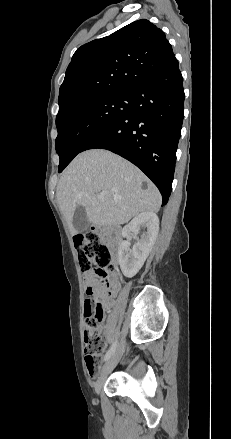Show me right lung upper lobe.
<instances>
[{
  "instance_id": "right-lung-upper-lobe-1",
  "label": "right lung upper lobe",
  "mask_w": 231,
  "mask_h": 439,
  "mask_svg": "<svg viewBox=\"0 0 231 439\" xmlns=\"http://www.w3.org/2000/svg\"><path fill=\"white\" fill-rule=\"evenodd\" d=\"M177 59L164 32L146 19L82 45L59 91V112L102 95L133 94Z\"/></svg>"
}]
</instances>
